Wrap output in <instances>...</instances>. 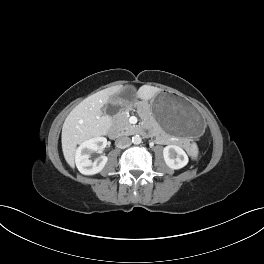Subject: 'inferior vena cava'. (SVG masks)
Returning a JSON list of instances; mask_svg holds the SVG:
<instances>
[{
	"label": "inferior vena cava",
	"instance_id": "inferior-vena-cava-1",
	"mask_svg": "<svg viewBox=\"0 0 264 264\" xmlns=\"http://www.w3.org/2000/svg\"><path fill=\"white\" fill-rule=\"evenodd\" d=\"M115 143H116V146L118 148L123 149V148H127L131 145V139L127 136H121V137L117 138Z\"/></svg>",
	"mask_w": 264,
	"mask_h": 264
}]
</instances>
